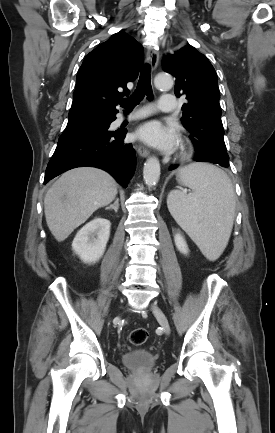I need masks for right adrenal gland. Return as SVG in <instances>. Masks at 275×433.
I'll use <instances>...</instances> for the list:
<instances>
[{
	"label": "right adrenal gland",
	"instance_id": "2a0ac1e0",
	"mask_svg": "<svg viewBox=\"0 0 275 433\" xmlns=\"http://www.w3.org/2000/svg\"><path fill=\"white\" fill-rule=\"evenodd\" d=\"M113 209L115 212L119 209V198H116L114 204H111L110 206L106 207L105 210H111Z\"/></svg>",
	"mask_w": 275,
	"mask_h": 433
}]
</instances>
